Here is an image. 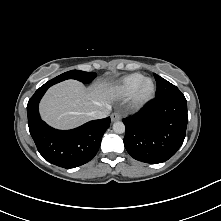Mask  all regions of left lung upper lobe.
I'll list each match as a JSON object with an SVG mask.
<instances>
[{
  "mask_svg": "<svg viewBox=\"0 0 221 221\" xmlns=\"http://www.w3.org/2000/svg\"><path fill=\"white\" fill-rule=\"evenodd\" d=\"M154 77L157 84L156 97L181 93L176 86L163 79L162 77L158 76L157 74H154Z\"/></svg>",
  "mask_w": 221,
  "mask_h": 221,
  "instance_id": "left-lung-upper-lobe-1",
  "label": "left lung upper lobe"
}]
</instances>
